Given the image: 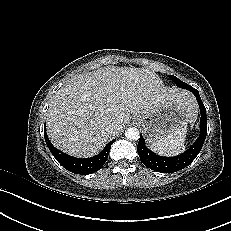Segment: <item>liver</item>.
<instances>
[{
    "instance_id": "6515ba94",
    "label": "liver",
    "mask_w": 231,
    "mask_h": 231,
    "mask_svg": "<svg viewBox=\"0 0 231 231\" xmlns=\"http://www.w3.org/2000/svg\"><path fill=\"white\" fill-rule=\"evenodd\" d=\"M166 102L184 105L191 117L192 95L168 89L152 71L107 67L79 75L53 96L46 114L49 139L59 150L86 158L99 153L129 121L130 114H145ZM116 124V134L107 130Z\"/></svg>"
}]
</instances>
